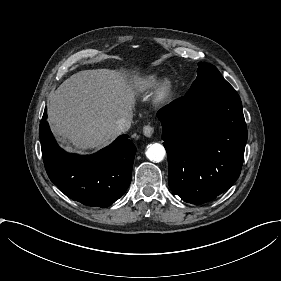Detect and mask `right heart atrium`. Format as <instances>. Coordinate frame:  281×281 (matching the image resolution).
Here are the masks:
<instances>
[{
	"mask_svg": "<svg viewBox=\"0 0 281 281\" xmlns=\"http://www.w3.org/2000/svg\"><path fill=\"white\" fill-rule=\"evenodd\" d=\"M123 114H124L123 105L121 104V102L118 99L114 98L112 110L109 115L110 119H112V120L119 119L123 116Z\"/></svg>",
	"mask_w": 281,
	"mask_h": 281,
	"instance_id": "d8ad5b80",
	"label": "right heart atrium"
}]
</instances>
